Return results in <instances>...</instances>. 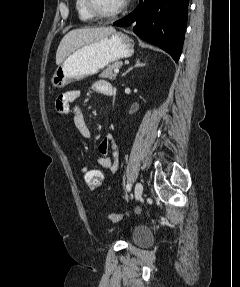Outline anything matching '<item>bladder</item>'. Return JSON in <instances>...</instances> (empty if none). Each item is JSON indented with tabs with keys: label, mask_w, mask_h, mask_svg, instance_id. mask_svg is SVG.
<instances>
[{
	"label": "bladder",
	"mask_w": 240,
	"mask_h": 287,
	"mask_svg": "<svg viewBox=\"0 0 240 287\" xmlns=\"http://www.w3.org/2000/svg\"><path fill=\"white\" fill-rule=\"evenodd\" d=\"M152 233L143 226H135L132 230V242L136 245H146L151 243Z\"/></svg>",
	"instance_id": "31cf9c89"
}]
</instances>
